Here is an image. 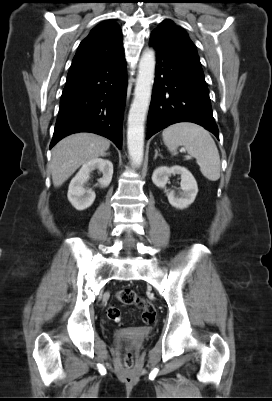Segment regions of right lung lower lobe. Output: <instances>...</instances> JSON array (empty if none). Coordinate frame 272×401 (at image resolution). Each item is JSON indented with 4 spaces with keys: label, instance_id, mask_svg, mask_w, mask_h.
I'll list each match as a JSON object with an SVG mask.
<instances>
[{
    "label": "right lung lower lobe",
    "instance_id": "1",
    "mask_svg": "<svg viewBox=\"0 0 272 401\" xmlns=\"http://www.w3.org/2000/svg\"><path fill=\"white\" fill-rule=\"evenodd\" d=\"M126 89L123 50L95 68L67 78L50 148L67 135L92 132L121 149Z\"/></svg>",
    "mask_w": 272,
    "mask_h": 401
}]
</instances>
